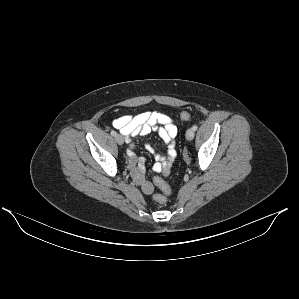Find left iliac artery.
<instances>
[{
    "label": "left iliac artery",
    "instance_id": "left-iliac-artery-1",
    "mask_svg": "<svg viewBox=\"0 0 299 299\" xmlns=\"http://www.w3.org/2000/svg\"><path fill=\"white\" fill-rule=\"evenodd\" d=\"M197 128H198V126H197V125H193V127H192V129H193L194 131H196V130H197Z\"/></svg>",
    "mask_w": 299,
    "mask_h": 299
}]
</instances>
